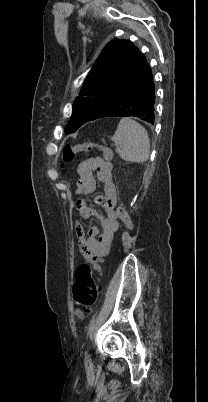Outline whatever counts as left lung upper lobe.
Wrapping results in <instances>:
<instances>
[{"label":"left lung upper lobe","mask_w":208,"mask_h":402,"mask_svg":"<svg viewBox=\"0 0 208 402\" xmlns=\"http://www.w3.org/2000/svg\"><path fill=\"white\" fill-rule=\"evenodd\" d=\"M145 57L128 40L110 41L84 81L73 103V113L65 132H75L95 120L113 104L145 63Z\"/></svg>","instance_id":"left-lung-upper-lobe-1"}]
</instances>
